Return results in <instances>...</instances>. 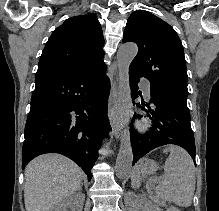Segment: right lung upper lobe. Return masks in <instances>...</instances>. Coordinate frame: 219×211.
<instances>
[{"label":"right lung upper lobe","instance_id":"right-lung-upper-lobe-1","mask_svg":"<svg viewBox=\"0 0 219 211\" xmlns=\"http://www.w3.org/2000/svg\"><path fill=\"white\" fill-rule=\"evenodd\" d=\"M103 46V32L94 15L69 18L50 36L36 75L93 70L104 64Z\"/></svg>","mask_w":219,"mask_h":211}]
</instances>
